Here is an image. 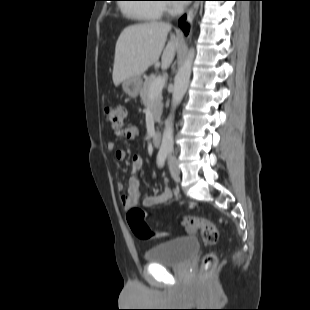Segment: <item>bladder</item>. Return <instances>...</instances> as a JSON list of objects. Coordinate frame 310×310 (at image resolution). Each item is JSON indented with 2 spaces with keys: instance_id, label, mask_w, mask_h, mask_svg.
Wrapping results in <instances>:
<instances>
[{
  "instance_id": "1",
  "label": "bladder",
  "mask_w": 310,
  "mask_h": 310,
  "mask_svg": "<svg viewBox=\"0 0 310 310\" xmlns=\"http://www.w3.org/2000/svg\"><path fill=\"white\" fill-rule=\"evenodd\" d=\"M198 252V241L192 236H182L154 245L146 251L145 259L149 264L181 266L191 261Z\"/></svg>"
}]
</instances>
